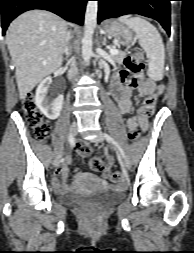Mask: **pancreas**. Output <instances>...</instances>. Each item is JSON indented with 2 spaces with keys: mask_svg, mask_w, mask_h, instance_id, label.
Instances as JSON below:
<instances>
[{
  "mask_svg": "<svg viewBox=\"0 0 194 253\" xmlns=\"http://www.w3.org/2000/svg\"><path fill=\"white\" fill-rule=\"evenodd\" d=\"M126 52L119 51L116 55H111L112 59L117 63H122L126 57Z\"/></svg>",
  "mask_w": 194,
  "mask_h": 253,
  "instance_id": "1",
  "label": "pancreas"
}]
</instances>
